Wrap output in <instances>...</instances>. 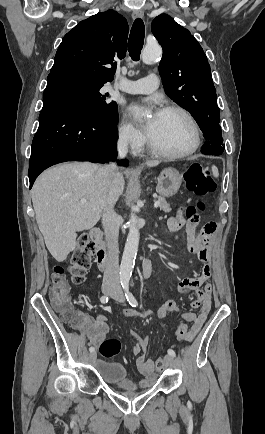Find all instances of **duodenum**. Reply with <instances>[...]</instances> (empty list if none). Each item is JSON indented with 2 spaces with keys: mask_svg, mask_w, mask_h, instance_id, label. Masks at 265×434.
Masks as SVG:
<instances>
[{
  "mask_svg": "<svg viewBox=\"0 0 265 434\" xmlns=\"http://www.w3.org/2000/svg\"><path fill=\"white\" fill-rule=\"evenodd\" d=\"M101 231L99 228H93L90 231L91 239L99 244ZM96 264L101 271L107 268L108 252L105 247L98 245L96 252ZM141 275L143 279H148L153 273V261L151 258H144L140 265Z\"/></svg>",
  "mask_w": 265,
  "mask_h": 434,
  "instance_id": "1",
  "label": "duodenum"
}]
</instances>
